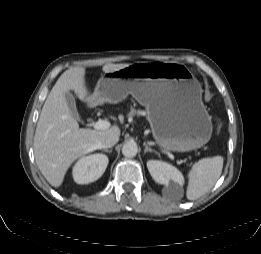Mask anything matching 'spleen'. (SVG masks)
<instances>
[{"instance_id":"1","label":"spleen","mask_w":261,"mask_h":254,"mask_svg":"<svg viewBox=\"0 0 261 254\" xmlns=\"http://www.w3.org/2000/svg\"><path fill=\"white\" fill-rule=\"evenodd\" d=\"M223 169V158L215 156L203 158L193 164L188 173V187L186 197L196 200L213 188Z\"/></svg>"}]
</instances>
